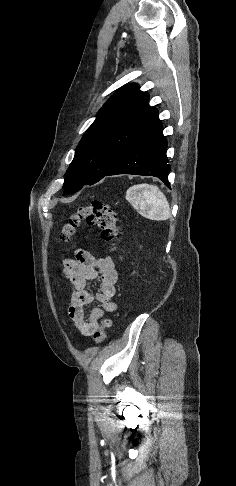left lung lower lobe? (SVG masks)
<instances>
[{
	"instance_id": "1",
	"label": "left lung lower lobe",
	"mask_w": 236,
	"mask_h": 486,
	"mask_svg": "<svg viewBox=\"0 0 236 486\" xmlns=\"http://www.w3.org/2000/svg\"><path fill=\"white\" fill-rule=\"evenodd\" d=\"M167 140L159 118L143 131L105 176L134 174L158 177L170 187V165L166 157Z\"/></svg>"
}]
</instances>
